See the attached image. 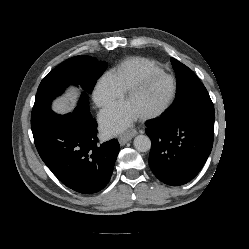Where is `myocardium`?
I'll use <instances>...</instances> for the list:
<instances>
[{"mask_svg":"<svg viewBox=\"0 0 249 249\" xmlns=\"http://www.w3.org/2000/svg\"><path fill=\"white\" fill-rule=\"evenodd\" d=\"M157 78H167L171 81L172 83V90H171V94L168 97V99L166 100V102L159 107L158 109L151 111L149 113L143 114L138 116L139 119L141 120H150V119H154L157 118L161 115H163L173 104L175 98H176V94H177V83L175 78L165 72H158V73H152V74H148L143 76L141 79H139L137 82H135L125 93L124 99L127 100L128 98L132 97L134 94H136L138 91H140L143 87H145L148 83H150L151 81H153L154 79Z\"/></svg>","mask_w":249,"mask_h":249,"instance_id":"1","label":"myocardium"}]
</instances>
